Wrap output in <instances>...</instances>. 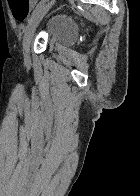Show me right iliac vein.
Listing matches in <instances>:
<instances>
[{
	"label": "right iliac vein",
	"instance_id": "1",
	"mask_svg": "<svg viewBox=\"0 0 140 196\" xmlns=\"http://www.w3.org/2000/svg\"><path fill=\"white\" fill-rule=\"evenodd\" d=\"M50 7H51V3H47L46 5L41 7L36 12V14L31 18V20L27 26V29L25 31L24 38H23V44H22L25 61H29V55H30L29 51H30L31 41H32L34 33H35V29L38 26V24L40 23V21L43 19V17L47 14Z\"/></svg>",
	"mask_w": 140,
	"mask_h": 196
}]
</instances>
